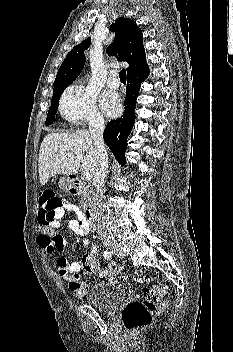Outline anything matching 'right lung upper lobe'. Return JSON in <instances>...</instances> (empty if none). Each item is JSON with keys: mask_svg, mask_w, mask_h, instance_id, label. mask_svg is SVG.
I'll use <instances>...</instances> for the list:
<instances>
[{"mask_svg": "<svg viewBox=\"0 0 233 352\" xmlns=\"http://www.w3.org/2000/svg\"><path fill=\"white\" fill-rule=\"evenodd\" d=\"M110 30L115 32V39L108 46L107 54L115 56L119 61L129 63L128 78L148 70V65L145 62L142 31L136 23L128 18H119L110 26ZM90 43L91 38H87L67 54L58 70L54 88L69 86L78 77L85 64L84 51L88 49Z\"/></svg>", "mask_w": 233, "mask_h": 352, "instance_id": "right-lung-upper-lobe-1", "label": "right lung upper lobe"}]
</instances>
